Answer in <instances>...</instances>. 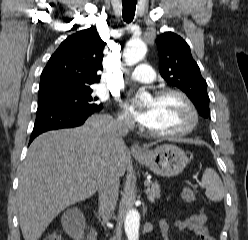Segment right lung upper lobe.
<instances>
[{
    "label": "right lung upper lobe",
    "mask_w": 248,
    "mask_h": 240,
    "mask_svg": "<svg viewBox=\"0 0 248 240\" xmlns=\"http://www.w3.org/2000/svg\"><path fill=\"white\" fill-rule=\"evenodd\" d=\"M104 46L96 27L69 36L44 68L38 97L75 93L100 82Z\"/></svg>",
    "instance_id": "obj_1"
}]
</instances>
